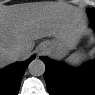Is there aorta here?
I'll use <instances>...</instances> for the list:
<instances>
[{"instance_id":"1","label":"aorta","mask_w":95,"mask_h":95,"mask_svg":"<svg viewBox=\"0 0 95 95\" xmlns=\"http://www.w3.org/2000/svg\"><path fill=\"white\" fill-rule=\"evenodd\" d=\"M29 73L33 76H41L45 72V64L40 59H34L28 66Z\"/></svg>"}]
</instances>
